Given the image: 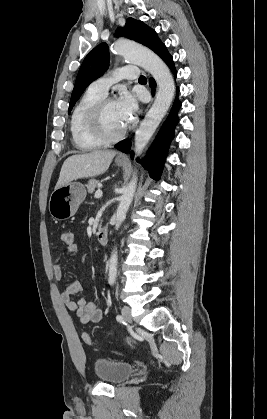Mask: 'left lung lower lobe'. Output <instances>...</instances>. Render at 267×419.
<instances>
[{
    "mask_svg": "<svg viewBox=\"0 0 267 419\" xmlns=\"http://www.w3.org/2000/svg\"><path fill=\"white\" fill-rule=\"evenodd\" d=\"M157 55L160 58H162V60L170 67V69L176 76L177 71L174 66L173 58L167 51V48L165 45L163 46V48ZM149 84H150V87H152V94L154 95V91H155L154 88L156 87V83L154 79L151 78L149 81ZM180 107H181V102L178 100V89H177V96L173 103L170 114L167 117L164 124L162 125L147 156L142 161L144 168L149 171L150 176L154 179H159L160 171L162 170L164 166V160L166 158L170 142L174 137V129L178 123L177 114ZM130 147H131V141L129 139H125L115 145V148L125 153L129 152ZM131 158L133 159V154H131Z\"/></svg>",
    "mask_w": 267,
    "mask_h": 419,
    "instance_id": "1",
    "label": "left lung lower lobe"
}]
</instances>
